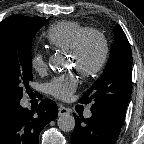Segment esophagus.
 <instances>
[{
	"label": "esophagus",
	"instance_id": "1",
	"mask_svg": "<svg viewBox=\"0 0 144 144\" xmlns=\"http://www.w3.org/2000/svg\"><path fill=\"white\" fill-rule=\"evenodd\" d=\"M69 113H70L69 109L64 107V106H60L58 109V115L59 116L67 115Z\"/></svg>",
	"mask_w": 144,
	"mask_h": 144
}]
</instances>
